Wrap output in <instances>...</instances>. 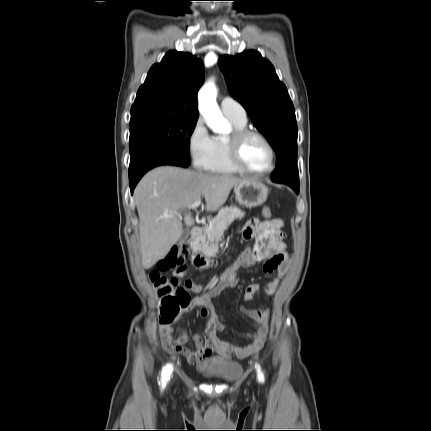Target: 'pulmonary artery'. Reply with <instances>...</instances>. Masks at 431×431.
<instances>
[{
	"mask_svg": "<svg viewBox=\"0 0 431 431\" xmlns=\"http://www.w3.org/2000/svg\"><path fill=\"white\" fill-rule=\"evenodd\" d=\"M223 114L240 122H246L247 116L244 107L231 97H224L220 102Z\"/></svg>",
	"mask_w": 431,
	"mask_h": 431,
	"instance_id": "obj_1",
	"label": "pulmonary artery"
}]
</instances>
